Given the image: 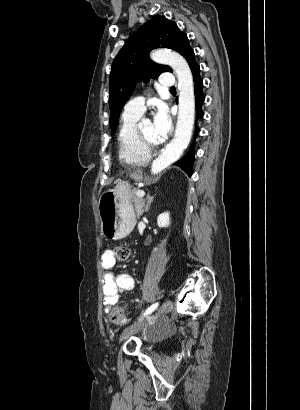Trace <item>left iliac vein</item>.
<instances>
[{"label": "left iliac vein", "mask_w": 300, "mask_h": 410, "mask_svg": "<svg viewBox=\"0 0 300 410\" xmlns=\"http://www.w3.org/2000/svg\"><path fill=\"white\" fill-rule=\"evenodd\" d=\"M173 308V302L171 300L163 303L156 312H154L152 315L147 316L144 319H141L140 321L132 324L131 326L127 327L126 329L123 330V332L120 335V341H123L130 337L132 334L138 332L141 327H143L146 323L149 321L159 318L160 316L170 312Z\"/></svg>", "instance_id": "left-iliac-vein-1"}]
</instances>
